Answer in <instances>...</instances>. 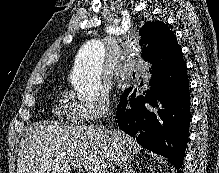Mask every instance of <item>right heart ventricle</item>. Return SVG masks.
I'll list each match as a JSON object with an SVG mask.
<instances>
[{"mask_svg": "<svg viewBox=\"0 0 219 173\" xmlns=\"http://www.w3.org/2000/svg\"><path fill=\"white\" fill-rule=\"evenodd\" d=\"M54 114L61 119H72V104L68 103L64 98H59L54 105Z\"/></svg>", "mask_w": 219, "mask_h": 173, "instance_id": "e07e8e85", "label": "right heart ventricle"}]
</instances>
